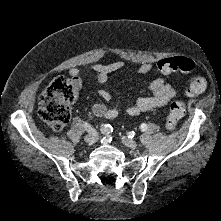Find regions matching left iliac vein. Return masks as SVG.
Here are the masks:
<instances>
[{"instance_id":"1","label":"left iliac vein","mask_w":221,"mask_h":221,"mask_svg":"<svg viewBox=\"0 0 221 221\" xmlns=\"http://www.w3.org/2000/svg\"><path fill=\"white\" fill-rule=\"evenodd\" d=\"M122 143L131 149H135L137 147V142L135 140L126 137H122Z\"/></svg>"}]
</instances>
